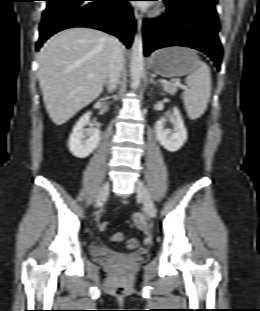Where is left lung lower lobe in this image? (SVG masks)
<instances>
[{"instance_id": "left-lung-lower-lobe-1", "label": "left lung lower lobe", "mask_w": 260, "mask_h": 311, "mask_svg": "<svg viewBox=\"0 0 260 311\" xmlns=\"http://www.w3.org/2000/svg\"><path fill=\"white\" fill-rule=\"evenodd\" d=\"M164 1L167 14L143 23L145 55L166 46H186L207 54L220 69L222 48L216 11L193 0Z\"/></svg>"}]
</instances>
